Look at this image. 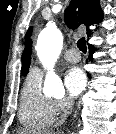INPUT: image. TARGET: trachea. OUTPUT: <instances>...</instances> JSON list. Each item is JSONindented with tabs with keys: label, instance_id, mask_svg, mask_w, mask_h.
I'll return each mask as SVG.
<instances>
[{
	"label": "trachea",
	"instance_id": "obj_1",
	"mask_svg": "<svg viewBox=\"0 0 116 134\" xmlns=\"http://www.w3.org/2000/svg\"><path fill=\"white\" fill-rule=\"evenodd\" d=\"M77 47L79 50H81L83 53H86L87 51V46H86V40L84 37L80 38L77 42Z\"/></svg>",
	"mask_w": 116,
	"mask_h": 134
}]
</instances>
